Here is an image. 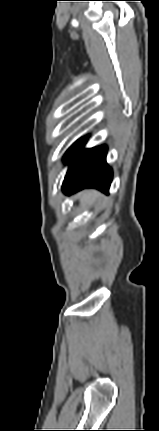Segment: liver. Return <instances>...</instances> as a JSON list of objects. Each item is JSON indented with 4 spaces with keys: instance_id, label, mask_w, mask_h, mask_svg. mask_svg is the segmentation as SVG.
Wrapping results in <instances>:
<instances>
[{
    "instance_id": "obj_1",
    "label": "liver",
    "mask_w": 159,
    "mask_h": 431,
    "mask_svg": "<svg viewBox=\"0 0 159 431\" xmlns=\"http://www.w3.org/2000/svg\"><path fill=\"white\" fill-rule=\"evenodd\" d=\"M80 202H84L90 206H98L102 201V195L95 190H87L77 195Z\"/></svg>"
}]
</instances>
